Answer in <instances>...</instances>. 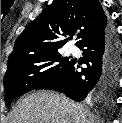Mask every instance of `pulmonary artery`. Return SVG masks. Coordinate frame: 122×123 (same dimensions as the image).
<instances>
[{
    "mask_svg": "<svg viewBox=\"0 0 122 123\" xmlns=\"http://www.w3.org/2000/svg\"><path fill=\"white\" fill-rule=\"evenodd\" d=\"M70 52H71L72 54H75V53L77 52V49H76L75 47H71V48H70Z\"/></svg>",
    "mask_w": 122,
    "mask_h": 123,
    "instance_id": "1",
    "label": "pulmonary artery"
}]
</instances>
